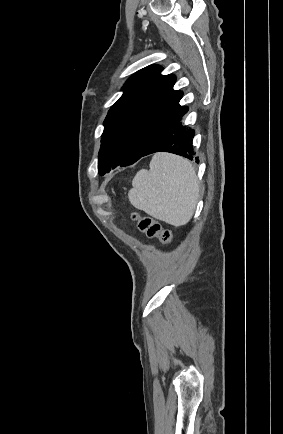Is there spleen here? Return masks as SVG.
<instances>
[{
    "label": "spleen",
    "mask_w": 283,
    "mask_h": 434,
    "mask_svg": "<svg viewBox=\"0 0 283 434\" xmlns=\"http://www.w3.org/2000/svg\"><path fill=\"white\" fill-rule=\"evenodd\" d=\"M130 203L150 216L173 226L189 222L197 203L199 185L193 165L168 153L152 157L150 169H142L132 181Z\"/></svg>",
    "instance_id": "spleen-1"
}]
</instances>
